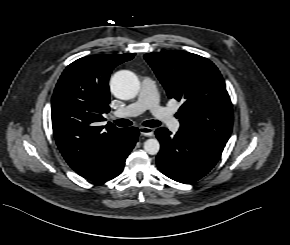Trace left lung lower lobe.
<instances>
[{"instance_id":"left-lung-lower-lobe-1","label":"left lung lower lobe","mask_w":290,"mask_h":245,"mask_svg":"<svg viewBox=\"0 0 290 245\" xmlns=\"http://www.w3.org/2000/svg\"><path fill=\"white\" fill-rule=\"evenodd\" d=\"M161 149L156 157L158 169L167 177L193 183L205 176L221 157L223 146L178 131L175 136L166 128L155 132Z\"/></svg>"}]
</instances>
